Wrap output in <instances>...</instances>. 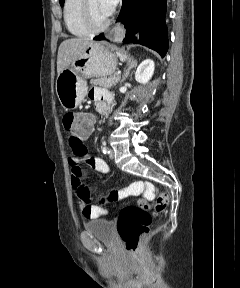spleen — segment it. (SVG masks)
<instances>
[{"label": "spleen", "mask_w": 240, "mask_h": 288, "mask_svg": "<svg viewBox=\"0 0 240 288\" xmlns=\"http://www.w3.org/2000/svg\"><path fill=\"white\" fill-rule=\"evenodd\" d=\"M128 56H124V58L126 59Z\"/></svg>", "instance_id": "spleen-1"}]
</instances>
